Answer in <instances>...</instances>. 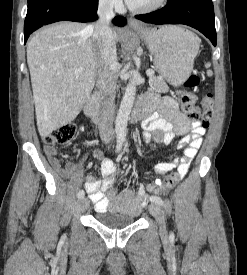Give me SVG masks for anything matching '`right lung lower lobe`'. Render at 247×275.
<instances>
[{
	"label": "right lung lower lobe",
	"mask_w": 247,
	"mask_h": 275,
	"mask_svg": "<svg viewBox=\"0 0 247 275\" xmlns=\"http://www.w3.org/2000/svg\"><path fill=\"white\" fill-rule=\"evenodd\" d=\"M98 0H28L24 23L25 43L29 34L57 21L91 22L97 17ZM113 23L124 26L126 19L116 16Z\"/></svg>",
	"instance_id": "98d812e1"
}]
</instances>
